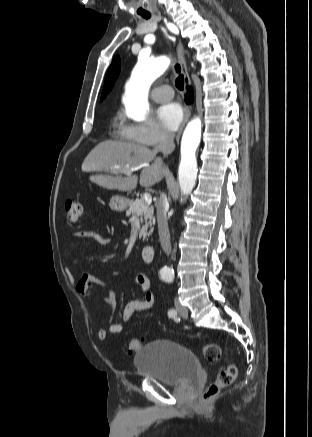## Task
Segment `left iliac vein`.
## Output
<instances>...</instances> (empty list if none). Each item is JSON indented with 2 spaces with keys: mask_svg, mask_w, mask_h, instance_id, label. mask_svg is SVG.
Returning <instances> with one entry per match:
<instances>
[{
  "mask_svg": "<svg viewBox=\"0 0 312 437\" xmlns=\"http://www.w3.org/2000/svg\"><path fill=\"white\" fill-rule=\"evenodd\" d=\"M175 307L177 312L179 313L180 316L186 318L188 316V309L187 307L183 306L180 301L178 300V298L175 299Z\"/></svg>",
  "mask_w": 312,
  "mask_h": 437,
  "instance_id": "obj_1",
  "label": "left iliac vein"
}]
</instances>
